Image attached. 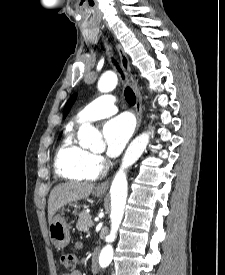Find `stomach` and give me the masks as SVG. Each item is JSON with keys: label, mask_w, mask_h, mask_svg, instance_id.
<instances>
[{"label": "stomach", "mask_w": 225, "mask_h": 275, "mask_svg": "<svg viewBox=\"0 0 225 275\" xmlns=\"http://www.w3.org/2000/svg\"><path fill=\"white\" fill-rule=\"evenodd\" d=\"M97 195L103 193V191L97 190ZM70 224L61 215L55 216L49 223V236L51 242L57 248H64L70 242Z\"/></svg>", "instance_id": "stomach-1"}]
</instances>
